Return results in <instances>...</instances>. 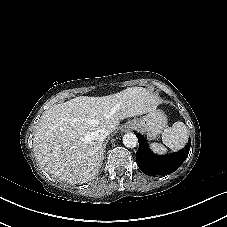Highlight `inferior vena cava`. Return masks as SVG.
<instances>
[{
  "label": "inferior vena cava",
  "mask_w": 227,
  "mask_h": 227,
  "mask_svg": "<svg viewBox=\"0 0 227 227\" xmlns=\"http://www.w3.org/2000/svg\"><path fill=\"white\" fill-rule=\"evenodd\" d=\"M110 134V132L105 129V128H101V129H98L95 133H94V136H95V139L98 140V141H101L103 142L104 139Z\"/></svg>",
  "instance_id": "602c4592"
}]
</instances>
